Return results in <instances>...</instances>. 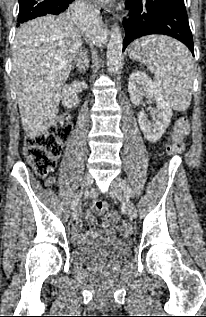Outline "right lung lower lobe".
<instances>
[{"mask_svg": "<svg viewBox=\"0 0 206 317\" xmlns=\"http://www.w3.org/2000/svg\"><path fill=\"white\" fill-rule=\"evenodd\" d=\"M73 0H58L56 7L60 10L59 14L64 12Z\"/></svg>", "mask_w": 206, "mask_h": 317, "instance_id": "1", "label": "right lung lower lobe"}]
</instances>
